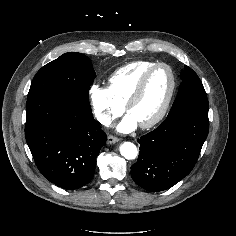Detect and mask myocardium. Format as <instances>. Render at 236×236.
Returning <instances> with one entry per match:
<instances>
[{"label": "myocardium", "instance_id": "obj_1", "mask_svg": "<svg viewBox=\"0 0 236 236\" xmlns=\"http://www.w3.org/2000/svg\"><path fill=\"white\" fill-rule=\"evenodd\" d=\"M166 68L169 71L170 77H171V86L168 92V95L166 97V100L160 110V112L150 121L146 122V123H142L140 124V126L143 129H150L154 126H156L157 124H159L164 117L166 116L171 102L173 100L175 91H176V86H177V80H176V75L174 73V70L172 69V67L166 63H156L153 66H151L150 68H148L144 74L142 75V77L140 78L138 84L136 85L134 91L132 92V94L130 95V97L128 98L126 104H125V109L126 111L129 113L130 108L138 101V99L141 97L145 86L148 82L149 77L151 76V74L157 70L158 68Z\"/></svg>", "mask_w": 236, "mask_h": 236}]
</instances>
